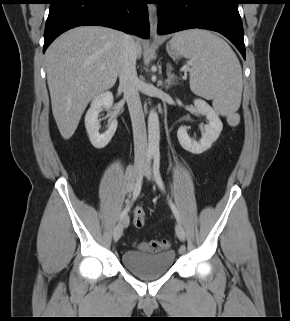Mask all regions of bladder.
Here are the masks:
<instances>
[{"label":"bladder","mask_w":290,"mask_h":321,"mask_svg":"<svg viewBox=\"0 0 290 321\" xmlns=\"http://www.w3.org/2000/svg\"><path fill=\"white\" fill-rule=\"evenodd\" d=\"M175 252L163 250L160 252H144L128 250L122 254L125 268L142 278L158 277L168 272L174 264Z\"/></svg>","instance_id":"bladder-1"}]
</instances>
